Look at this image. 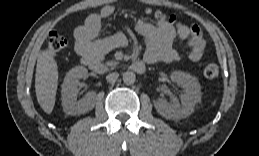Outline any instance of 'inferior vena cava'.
Masks as SVG:
<instances>
[{
  "label": "inferior vena cava",
  "mask_w": 259,
  "mask_h": 156,
  "mask_svg": "<svg viewBox=\"0 0 259 156\" xmlns=\"http://www.w3.org/2000/svg\"><path fill=\"white\" fill-rule=\"evenodd\" d=\"M119 77V74L114 72V73H110L106 76V80L109 83H114Z\"/></svg>",
  "instance_id": "602c4592"
}]
</instances>
